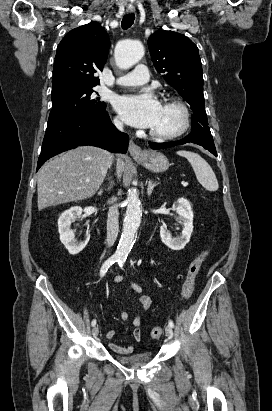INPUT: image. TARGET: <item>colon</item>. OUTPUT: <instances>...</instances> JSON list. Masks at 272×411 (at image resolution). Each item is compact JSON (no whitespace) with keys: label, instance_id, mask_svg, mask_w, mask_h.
Masks as SVG:
<instances>
[{"label":"colon","instance_id":"1","mask_svg":"<svg viewBox=\"0 0 272 411\" xmlns=\"http://www.w3.org/2000/svg\"><path fill=\"white\" fill-rule=\"evenodd\" d=\"M207 258H208V254L202 253L190 262L188 269H187V274H186V277H185V280L183 282L182 289H181L182 299L187 300L192 296L196 277L202 265L206 262ZM150 334H151V337L154 339L160 338L163 334V328L160 326L153 327Z\"/></svg>","mask_w":272,"mask_h":411}]
</instances>
